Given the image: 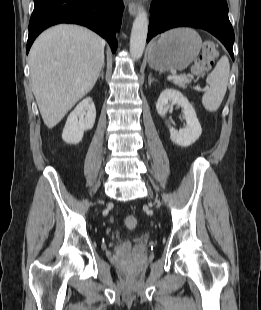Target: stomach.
Masks as SVG:
<instances>
[{"mask_svg":"<svg viewBox=\"0 0 261 310\" xmlns=\"http://www.w3.org/2000/svg\"><path fill=\"white\" fill-rule=\"evenodd\" d=\"M201 46L202 40L195 30L172 29L150 45L149 66L160 72L184 70L196 59Z\"/></svg>","mask_w":261,"mask_h":310,"instance_id":"obj_1","label":"stomach"}]
</instances>
